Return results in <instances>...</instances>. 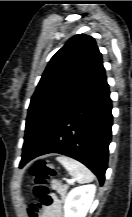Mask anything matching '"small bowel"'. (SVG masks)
<instances>
[{"label": "small bowel", "mask_w": 132, "mask_h": 217, "mask_svg": "<svg viewBox=\"0 0 132 217\" xmlns=\"http://www.w3.org/2000/svg\"><path fill=\"white\" fill-rule=\"evenodd\" d=\"M54 187L61 194L64 195L65 187L60 183H55ZM38 217H63L62 200L54 198V201L49 206L40 208Z\"/></svg>", "instance_id": "1"}]
</instances>
